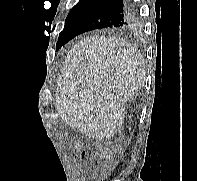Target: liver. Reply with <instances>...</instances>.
<instances>
[{
  "label": "liver",
  "mask_w": 197,
  "mask_h": 181,
  "mask_svg": "<svg viewBox=\"0 0 197 181\" xmlns=\"http://www.w3.org/2000/svg\"><path fill=\"white\" fill-rule=\"evenodd\" d=\"M145 61L119 38L90 36L67 54L58 78L60 118L87 137L109 139L125 120V103L144 86Z\"/></svg>",
  "instance_id": "6515ba94"
}]
</instances>
